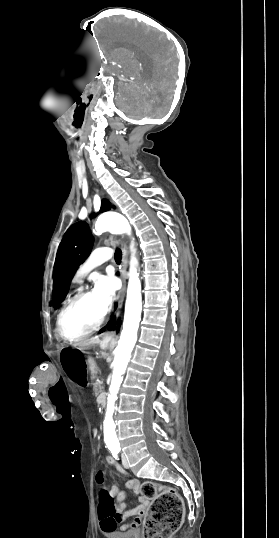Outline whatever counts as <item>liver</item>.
<instances>
[{"label":"liver","mask_w":279,"mask_h":538,"mask_svg":"<svg viewBox=\"0 0 279 538\" xmlns=\"http://www.w3.org/2000/svg\"><path fill=\"white\" fill-rule=\"evenodd\" d=\"M99 342V338H90V340H88L84 346H92V344H99Z\"/></svg>","instance_id":"obj_1"}]
</instances>
